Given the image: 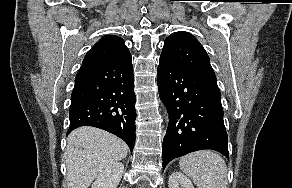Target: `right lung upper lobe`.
<instances>
[{
  "mask_svg": "<svg viewBox=\"0 0 292 188\" xmlns=\"http://www.w3.org/2000/svg\"><path fill=\"white\" fill-rule=\"evenodd\" d=\"M129 57L130 52L122 38L105 35L88 51L83 62L121 61Z\"/></svg>",
  "mask_w": 292,
  "mask_h": 188,
  "instance_id": "1",
  "label": "right lung upper lobe"
}]
</instances>
